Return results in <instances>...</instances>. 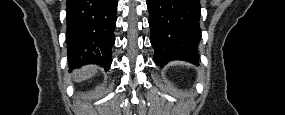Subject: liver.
Segmentation results:
<instances>
[{
	"mask_svg": "<svg viewBox=\"0 0 285 115\" xmlns=\"http://www.w3.org/2000/svg\"><path fill=\"white\" fill-rule=\"evenodd\" d=\"M98 68L96 66H85L78 70L74 71L75 81L81 82L82 80H86L97 73Z\"/></svg>",
	"mask_w": 285,
	"mask_h": 115,
	"instance_id": "1",
	"label": "liver"
}]
</instances>
